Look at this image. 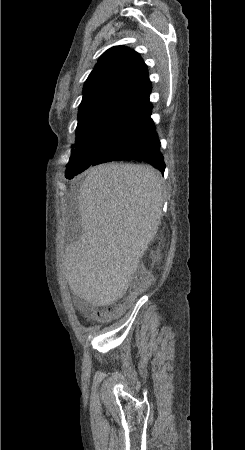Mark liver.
<instances>
[{
	"mask_svg": "<svg viewBox=\"0 0 245 450\" xmlns=\"http://www.w3.org/2000/svg\"><path fill=\"white\" fill-rule=\"evenodd\" d=\"M164 193L151 166L108 163L86 171L78 196L82 236L63 258L75 294L97 306L124 296L158 230Z\"/></svg>",
	"mask_w": 245,
	"mask_h": 450,
	"instance_id": "1",
	"label": "liver"
}]
</instances>
